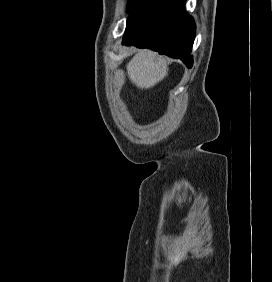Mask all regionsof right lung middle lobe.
Returning a JSON list of instances; mask_svg holds the SVG:
<instances>
[{
    "mask_svg": "<svg viewBox=\"0 0 272 282\" xmlns=\"http://www.w3.org/2000/svg\"><path fill=\"white\" fill-rule=\"evenodd\" d=\"M142 0H129L128 1V12H132L138 5L139 3L141 2Z\"/></svg>",
    "mask_w": 272,
    "mask_h": 282,
    "instance_id": "obj_1",
    "label": "right lung middle lobe"
}]
</instances>
